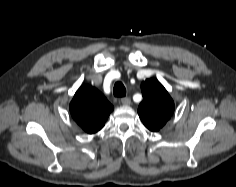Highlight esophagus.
Returning a JSON list of instances; mask_svg holds the SVG:
<instances>
[{"label":"esophagus","instance_id":"34e87169","mask_svg":"<svg viewBox=\"0 0 236 187\" xmlns=\"http://www.w3.org/2000/svg\"><path fill=\"white\" fill-rule=\"evenodd\" d=\"M121 103L125 106H128L131 104V100L128 97L121 98Z\"/></svg>","mask_w":236,"mask_h":187}]
</instances>
